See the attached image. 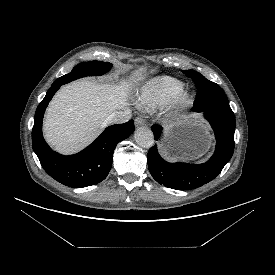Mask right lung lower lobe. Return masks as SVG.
Listing matches in <instances>:
<instances>
[{
    "label": "right lung lower lobe",
    "mask_w": 275,
    "mask_h": 275,
    "mask_svg": "<svg viewBox=\"0 0 275 275\" xmlns=\"http://www.w3.org/2000/svg\"><path fill=\"white\" fill-rule=\"evenodd\" d=\"M63 85L55 81L37 107L32 129L33 150L44 170L56 181L73 188H82L103 181L112 166L113 152L118 142L134 131V121L107 127L104 132L83 151L62 156L50 149L42 136V121L45 109Z\"/></svg>",
    "instance_id": "1"
}]
</instances>
